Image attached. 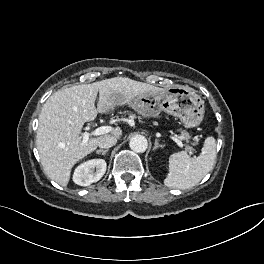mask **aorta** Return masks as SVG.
<instances>
[{
    "instance_id": "762f6f07",
    "label": "aorta",
    "mask_w": 264,
    "mask_h": 264,
    "mask_svg": "<svg viewBox=\"0 0 264 264\" xmlns=\"http://www.w3.org/2000/svg\"><path fill=\"white\" fill-rule=\"evenodd\" d=\"M129 146L131 150L137 153H143L147 150V139L142 135H135L130 139Z\"/></svg>"
}]
</instances>
